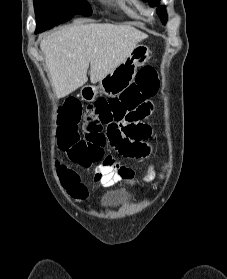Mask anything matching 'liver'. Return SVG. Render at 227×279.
I'll return each mask as SVG.
<instances>
[{
	"instance_id": "1",
	"label": "liver",
	"mask_w": 227,
	"mask_h": 279,
	"mask_svg": "<svg viewBox=\"0 0 227 279\" xmlns=\"http://www.w3.org/2000/svg\"><path fill=\"white\" fill-rule=\"evenodd\" d=\"M147 35L129 24L88 23L63 27L40 42L55 95L65 97L90 80L99 82Z\"/></svg>"
}]
</instances>
